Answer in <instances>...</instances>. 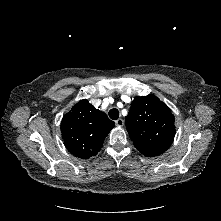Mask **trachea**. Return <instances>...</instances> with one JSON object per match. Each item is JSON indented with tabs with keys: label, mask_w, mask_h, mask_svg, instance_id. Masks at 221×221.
I'll return each instance as SVG.
<instances>
[{
	"label": "trachea",
	"mask_w": 221,
	"mask_h": 221,
	"mask_svg": "<svg viewBox=\"0 0 221 221\" xmlns=\"http://www.w3.org/2000/svg\"><path fill=\"white\" fill-rule=\"evenodd\" d=\"M109 117H110L112 120H117V119L119 118V111H118V109L112 108V109L109 111Z\"/></svg>",
	"instance_id": "trachea-1"
}]
</instances>
